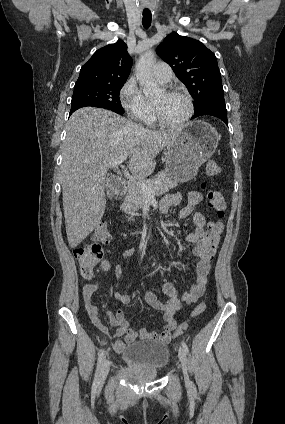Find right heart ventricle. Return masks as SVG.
Segmentation results:
<instances>
[{"label": "right heart ventricle", "instance_id": "e07e8e85", "mask_svg": "<svg viewBox=\"0 0 285 424\" xmlns=\"http://www.w3.org/2000/svg\"><path fill=\"white\" fill-rule=\"evenodd\" d=\"M150 105L152 107V112H151L150 118H149V120L147 122L152 123L154 121V110H153V106H152L151 103H150Z\"/></svg>", "mask_w": 285, "mask_h": 424}]
</instances>
